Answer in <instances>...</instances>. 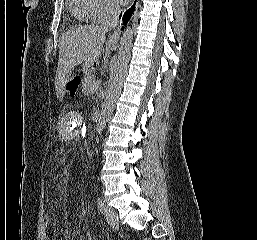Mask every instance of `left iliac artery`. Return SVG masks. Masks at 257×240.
<instances>
[{"label": "left iliac artery", "instance_id": "left-iliac-artery-1", "mask_svg": "<svg viewBox=\"0 0 257 240\" xmlns=\"http://www.w3.org/2000/svg\"><path fill=\"white\" fill-rule=\"evenodd\" d=\"M97 205H98L99 211H100L101 213H103V211H104V203H103L101 197H98V198H97Z\"/></svg>", "mask_w": 257, "mask_h": 240}]
</instances>
